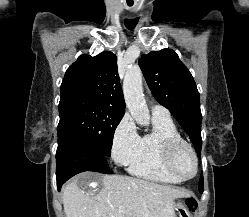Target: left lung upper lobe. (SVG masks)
<instances>
[{"instance_id": "left-lung-upper-lobe-1", "label": "left lung upper lobe", "mask_w": 249, "mask_h": 217, "mask_svg": "<svg viewBox=\"0 0 249 217\" xmlns=\"http://www.w3.org/2000/svg\"><path fill=\"white\" fill-rule=\"evenodd\" d=\"M146 82L156 100L166 107L201 152L200 95L194 79L172 49L153 51L139 59ZM203 192V181L199 182Z\"/></svg>"}]
</instances>
